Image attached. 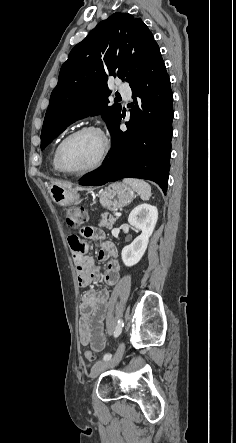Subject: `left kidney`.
I'll return each mask as SVG.
<instances>
[{"label": "left kidney", "mask_w": 236, "mask_h": 443, "mask_svg": "<svg viewBox=\"0 0 236 443\" xmlns=\"http://www.w3.org/2000/svg\"><path fill=\"white\" fill-rule=\"evenodd\" d=\"M158 219V210L150 204L136 206L128 217L129 224L141 230L142 233L133 242L122 249L121 257L127 267L137 264L143 257L149 238L152 235Z\"/></svg>", "instance_id": "left-kidney-1"}]
</instances>
